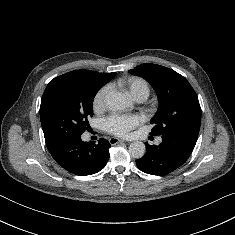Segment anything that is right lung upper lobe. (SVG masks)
Returning a JSON list of instances; mask_svg holds the SVG:
<instances>
[{
	"label": "right lung upper lobe",
	"mask_w": 235,
	"mask_h": 235,
	"mask_svg": "<svg viewBox=\"0 0 235 235\" xmlns=\"http://www.w3.org/2000/svg\"><path fill=\"white\" fill-rule=\"evenodd\" d=\"M113 73H99V72H94L90 70H75L68 72L66 74H63L61 76H84V77H89L94 80H97L103 84H106L109 80H111L114 76Z\"/></svg>",
	"instance_id": "right-lung-upper-lobe-1"
}]
</instances>
